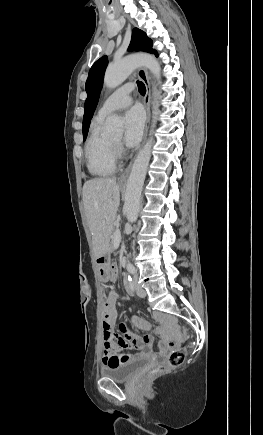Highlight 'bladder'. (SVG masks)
<instances>
[{
  "instance_id": "bladder-1",
  "label": "bladder",
  "mask_w": 263,
  "mask_h": 435,
  "mask_svg": "<svg viewBox=\"0 0 263 435\" xmlns=\"http://www.w3.org/2000/svg\"><path fill=\"white\" fill-rule=\"evenodd\" d=\"M147 362L146 358L137 357L114 366L104 365L101 367L100 373L103 377L114 381L126 382L145 366Z\"/></svg>"
}]
</instances>
